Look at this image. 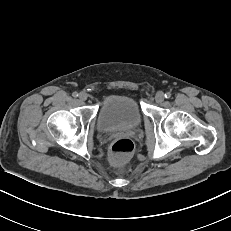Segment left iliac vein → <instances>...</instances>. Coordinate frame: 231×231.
Here are the masks:
<instances>
[{"label":"left iliac vein","mask_w":231,"mask_h":231,"mask_svg":"<svg viewBox=\"0 0 231 231\" xmlns=\"http://www.w3.org/2000/svg\"><path fill=\"white\" fill-rule=\"evenodd\" d=\"M155 101L161 103L164 101V94L162 92H157L155 95Z\"/></svg>","instance_id":"left-iliac-vein-1"}]
</instances>
